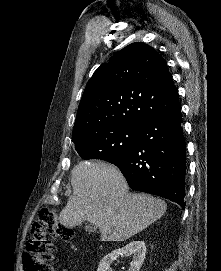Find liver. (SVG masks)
<instances>
[{
  "label": "liver",
  "mask_w": 221,
  "mask_h": 271,
  "mask_svg": "<svg viewBox=\"0 0 221 271\" xmlns=\"http://www.w3.org/2000/svg\"><path fill=\"white\" fill-rule=\"evenodd\" d=\"M72 195L60 213V223L76 227L97 225L100 241H125L159 219L167 209L163 199L148 193H129L118 167L104 161H79L72 169Z\"/></svg>",
  "instance_id": "obj_1"
}]
</instances>
